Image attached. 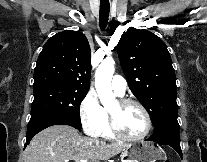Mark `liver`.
<instances>
[{"label":"liver","instance_id":"6515ba94","mask_svg":"<svg viewBox=\"0 0 207 162\" xmlns=\"http://www.w3.org/2000/svg\"><path fill=\"white\" fill-rule=\"evenodd\" d=\"M125 143H106L83 137L68 125L50 126L33 137L24 152V162L108 160L128 148Z\"/></svg>","mask_w":207,"mask_h":162}]
</instances>
